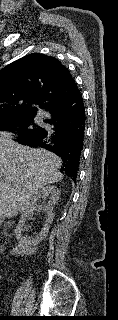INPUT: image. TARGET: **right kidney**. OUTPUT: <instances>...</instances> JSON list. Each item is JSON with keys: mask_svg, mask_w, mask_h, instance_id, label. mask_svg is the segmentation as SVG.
Listing matches in <instances>:
<instances>
[{"mask_svg": "<svg viewBox=\"0 0 118 320\" xmlns=\"http://www.w3.org/2000/svg\"><path fill=\"white\" fill-rule=\"evenodd\" d=\"M59 195L60 191L56 186L48 185L43 187L32 197L28 207L22 213L15 229V235L19 243V249L16 250L20 253L27 255L33 254L36 250V246L47 237L50 225L54 219L53 207L57 203ZM41 199L44 200L42 203H40ZM47 199L48 201L45 202ZM34 211L46 214L45 223L38 235L33 237H24L22 235V231L25 227L26 221L32 218Z\"/></svg>", "mask_w": 118, "mask_h": 320, "instance_id": "right-kidney-1", "label": "right kidney"}]
</instances>
